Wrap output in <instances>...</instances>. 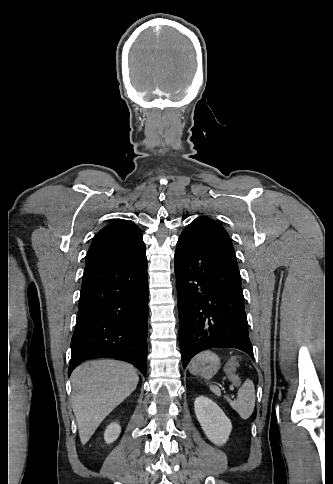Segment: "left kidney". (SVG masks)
I'll use <instances>...</instances> for the list:
<instances>
[{
	"label": "left kidney",
	"instance_id": "1",
	"mask_svg": "<svg viewBox=\"0 0 333 484\" xmlns=\"http://www.w3.org/2000/svg\"><path fill=\"white\" fill-rule=\"evenodd\" d=\"M194 410L207 438L217 446L225 444L232 424L222 409L211 399L200 396L194 402Z\"/></svg>",
	"mask_w": 333,
	"mask_h": 484
}]
</instances>
